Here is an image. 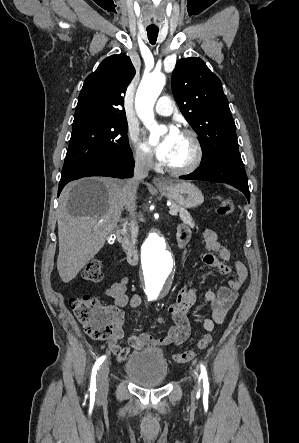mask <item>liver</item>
<instances>
[{
    "instance_id": "1",
    "label": "liver",
    "mask_w": 299,
    "mask_h": 443,
    "mask_svg": "<svg viewBox=\"0 0 299 443\" xmlns=\"http://www.w3.org/2000/svg\"><path fill=\"white\" fill-rule=\"evenodd\" d=\"M126 181L88 178L68 184L59 199L57 270L63 282L74 279L114 231L127 201ZM101 220H106L99 227Z\"/></svg>"
}]
</instances>
